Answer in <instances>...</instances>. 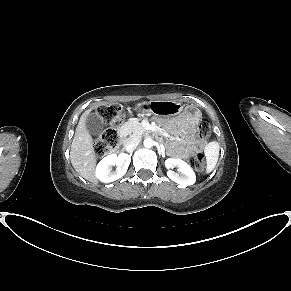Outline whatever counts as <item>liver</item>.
<instances>
[{
    "mask_svg": "<svg viewBox=\"0 0 291 291\" xmlns=\"http://www.w3.org/2000/svg\"><path fill=\"white\" fill-rule=\"evenodd\" d=\"M89 112L80 117L75 135L71 144L70 159L76 172L84 179L96 183V157L93 148V139L86 128V118Z\"/></svg>",
    "mask_w": 291,
    "mask_h": 291,
    "instance_id": "1",
    "label": "liver"
}]
</instances>
